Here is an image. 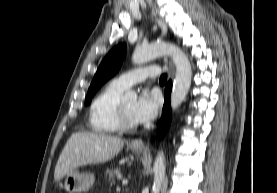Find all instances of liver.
<instances>
[{
    "label": "liver",
    "instance_id": "liver-1",
    "mask_svg": "<svg viewBox=\"0 0 277 193\" xmlns=\"http://www.w3.org/2000/svg\"><path fill=\"white\" fill-rule=\"evenodd\" d=\"M124 140L98 132H77L70 136L57 161L54 180L59 181L80 166L104 163L114 158Z\"/></svg>",
    "mask_w": 277,
    "mask_h": 193
}]
</instances>
